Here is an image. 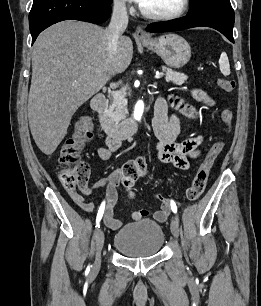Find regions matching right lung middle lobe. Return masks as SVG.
Instances as JSON below:
<instances>
[{"mask_svg":"<svg viewBox=\"0 0 261 306\" xmlns=\"http://www.w3.org/2000/svg\"><path fill=\"white\" fill-rule=\"evenodd\" d=\"M100 2L102 3H105V4H111L112 3V0H99Z\"/></svg>","mask_w":261,"mask_h":306,"instance_id":"right-lung-middle-lobe-1","label":"right lung middle lobe"}]
</instances>
